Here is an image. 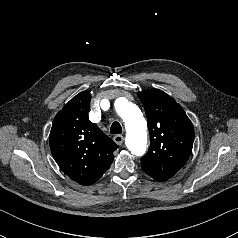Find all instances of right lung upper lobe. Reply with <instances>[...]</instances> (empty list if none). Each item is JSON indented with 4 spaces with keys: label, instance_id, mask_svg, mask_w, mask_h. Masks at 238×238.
Here are the masks:
<instances>
[{
    "label": "right lung upper lobe",
    "instance_id": "right-lung-upper-lobe-1",
    "mask_svg": "<svg viewBox=\"0 0 238 238\" xmlns=\"http://www.w3.org/2000/svg\"><path fill=\"white\" fill-rule=\"evenodd\" d=\"M90 90L73 97L54 118L49 143L61 170L81 185L95 183L110 167L117 145L88 118Z\"/></svg>",
    "mask_w": 238,
    "mask_h": 238
}]
</instances>
